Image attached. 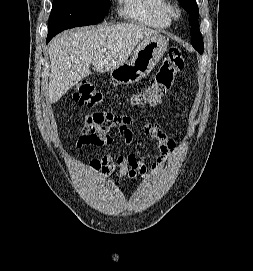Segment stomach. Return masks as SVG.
<instances>
[{
    "label": "stomach",
    "instance_id": "obj_1",
    "mask_svg": "<svg viewBox=\"0 0 253 271\" xmlns=\"http://www.w3.org/2000/svg\"><path fill=\"white\" fill-rule=\"evenodd\" d=\"M168 42L162 35L146 37L140 41L129 61L110 71L117 84L129 85L148 75L163 57Z\"/></svg>",
    "mask_w": 253,
    "mask_h": 271
}]
</instances>
